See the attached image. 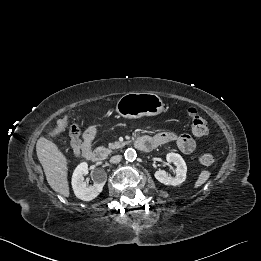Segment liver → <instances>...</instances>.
Masks as SVG:
<instances>
[{"label": "liver", "instance_id": "1", "mask_svg": "<svg viewBox=\"0 0 261 261\" xmlns=\"http://www.w3.org/2000/svg\"><path fill=\"white\" fill-rule=\"evenodd\" d=\"M36 152L50 187L62 196L69 197L68 162L65 155L54 142L45 137L38 139Z\"/></svg>", "mask_w": 261, "mask_h": 261}]
</instances>
